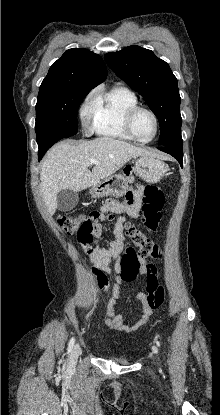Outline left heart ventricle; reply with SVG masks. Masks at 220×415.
<instances>
[{
	"mask_svg": "<svg viewBox=\"0 0 220 415\" xmlns=\"http://www.w3.org/2000/svg\"><path fill=\"white\" fill-rule=\"evenodd\" d=\"M133 130L135 135L142 140L151 138L155 132L152 116L145 111L138 112L133 120Z\"/></svg>",
	"mask_w": 220,
	"mask_h": 415,
	"instance_id": "b2bd125f",
	"label": "left heart ventricle"
}]
</instances>
